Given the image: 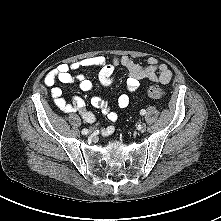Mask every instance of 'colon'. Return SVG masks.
Listing matches in <instances>:
<instances>
[{
    "label": "colon",
    "mask_w": 221,
    "mask_h": 221,
    "mask_svg": "<svg viewBox=\"0 0 221 221\" xmlns=\"http://www.w3.org/2000/svg\"><path fill=\"white\" fill-rule=\"evenodd\" d=\"M147 95L152 99H162L164 97V90L159 86H149L146 90Z\"/></svg>",
    "instance_id": "colon-1"
}]
</instances>
